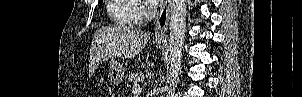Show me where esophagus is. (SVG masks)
<instances>
[{
  "label": "esophagus",
  "mask_w": 302,
  "mask_h": 97,
  "mask_svg": "<svg viewBox=\"0 0 302 97\" xmlns=\"http://www.w3.org/2000/svg\"><path fill=\"white\" fill-rule=\"evenodd\" d=\"M170 6L171 0H166L157 14L156 30L154 35V41L157 43L166 42L167 29L170 18Z\"/></svg>",
  "instance_id": "obj_1"
}]
</instances>
